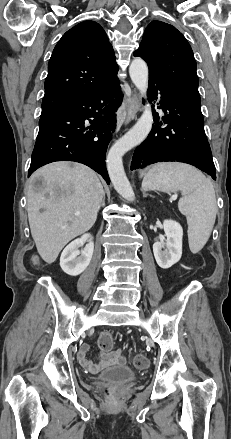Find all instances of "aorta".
<instances>
[{
	"mask_svg": "<svg viewBox=\"0 0 231 439\" xmlns=\"http://www.w3.org/2000/svg\"><path fill=\"white\" fill-rule=\"evenodd\" d=\"M132 82L145 99L144 111L137 123L110 148L107 170L115 190L126 200L134 201L135 194L128 181L122 162L123 155L140 144L149 134L153 124L151 106L147 101L148 67L141 58H135L129 67Z\"/></svg>",
	"mask_w": 231,
	"mask_h": 439,
	"instance_id": "aorta-1",
	"label": "aorta"
}]
</instances>
